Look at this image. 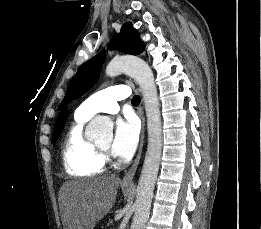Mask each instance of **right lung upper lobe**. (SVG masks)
Instances as JSON below:
<instances>
[{
    "mask_svg": "<svg viewBox=\"0 0 261 229\" xmlns=\"http://www.w3.org/2000/svg\"><path fill=\"white\" fill-rule=\"evenodd\" d=\"M66 117H67V107H64L63 110L60 112L55 125H64Z\"/></svg>",
    "mask_w": 261,
    "mask_h": 229,
    "instance_id": "cb5924a9",
    "label": "right lung upper lobe"
}]
</instances>
